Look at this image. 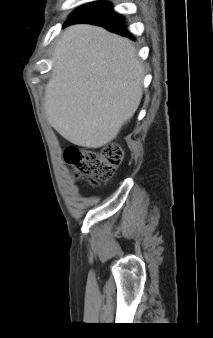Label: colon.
<instances>
[{
  "label": "colon",
  "mask_w": 213,
  "mask_h": 338,
  "mask_svg": "<svg viewBox=\"0 0 213 338\" xmlns=\"http://www.w3.org/2000/svg\"><path fill=\"white\" fill-rule=\"evenodd\" d=\"M122 148L116 143H109L99 149L68 147L63 156L66 163L77 176L88 177L92 184L110 180L122 160Z\"/></svg>",
  "instance_id": "1"
}]
</instances>
